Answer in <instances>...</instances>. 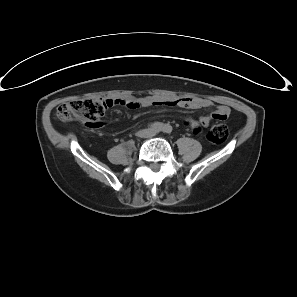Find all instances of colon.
<instances>
[{
    "instance_id": "1",
    "label": "colon",
    "mask_w": 297,
    "mask_h": 297,
    "mask_svg": "<svg viewBox=\"0 0 297 297\" xmlns=\"http://www.w3.org/2000/svg\"><path fill=\"white\" fill-rule=\"evenodd\" d=\"M112 103L103 98L77 99L61 104L55 113L56 119L68 122L74 119L86 121L96 119L101 121L105 112ZM228 128L223 124H216L207 132V139L214 144L223 143L228 137Z\"/></svg>"
}]
</instances>
